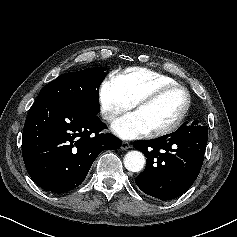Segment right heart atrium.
Instances as JSON below:
<instances>
[{"label":"right heart atrium","instance_id":"d8ad5b80","mask_svg":"<svg viewBox=\"0 0 237 237\" xmlns=\"http://www.w3.org/2000/svg\"><path fill=\"white\" fill-rule=\"evenodd\" d=\"M101 117L108 123L114 122L132 107L113 76L105 78L98 90Z\"/></svg>","mask_w":237,"mask_h":237}]
</instances>
